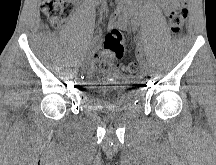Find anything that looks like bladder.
<instances>
[{
	"label": "bladder",
	"instance_id": "1",
	"mask_svg": "<svg viewBox=\"0 0 216 165\" xmlns=\"http://www.w3.org/2000/svg\"><path fill=\"white\" fill-rule=\"evenodd\" d=\"M87 86L82 94H88L96 111H120L130 107L136 100L137 90L133 76L118 71H109L107 76H88Z\"/></svg>",
	"mask_w": 216,
	"mask_h": 165
}]
</instances>
